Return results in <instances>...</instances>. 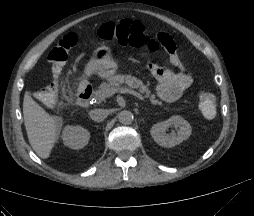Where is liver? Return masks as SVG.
I'll return each instance as SVG.
<instances>
[{"label": "liver", "instance_id": "liver-1", "mask_svg": "<svg viewBox=\"0 0 254 216\" xmlns=\"http://www.w3.org/2000/svg\"><path fill=\"white\" fill-rule=\"evenodd\" d=\"M23 116L30 145L39 157L47 159L57 142L62 118L50 115L28 93L24 95Z\"/></svg>", "mask_w": 254, "mask_h": 216}]
</instances>
